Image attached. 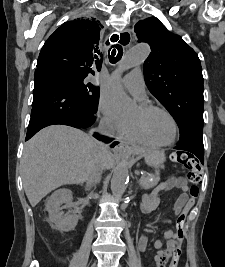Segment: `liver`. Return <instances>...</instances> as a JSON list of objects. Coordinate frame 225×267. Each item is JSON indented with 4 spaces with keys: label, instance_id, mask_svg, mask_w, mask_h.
Here are the masks:
<instances>
[{
    "label": "liver",
    "instance_id": "liver-1",
    "mask_svg": "<svg viewBox=\"0 0 225 267\" xmlns=\"http://www.w3.org/2000/svg\"><path fill=\"white\" fill-rule=\"evenodd\" d=\"M97 155V142L81 130L52 125L38 132L26 142L22 156L23 187L31 206L62 185L85 182ZM112 158L109 151L102 156L105 168Z\"/></svg>",
    "mask_w": 225,
    "mask_h": 267
}]
</instances>
